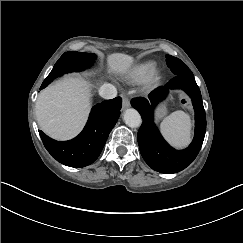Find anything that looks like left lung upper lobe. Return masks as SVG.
<instances>
[{
  "label": "left lung upper lobe",
  "instance_id": "left-lung-upper-lobe-1",
  "mask_svg": "<svg viewBox=\"0 0 243 243\" xmlns=\"http://www.w3.org/2000/svg\"><path fill=\"white\" fill-rule=\"evenodd\" d=\"M167 66L175 75L193 76V73L180 59L171 55H166Z\"/></svg>",
  "mask_w": 243,
  "mask_h": 243
}]
</instances>
